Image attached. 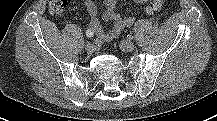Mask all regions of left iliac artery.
<instances>
[{"mask_svg": "<svg viewBox=\"0 0 217 121\" xmlns=\"http://www.w3.org/2000/svg\"><path fill=\"white\" fill-rule=\"evenodd\" d=\"M149 24L150 22L148 20H145V19L138 20L133 27V31L137 32L138 30L142 29L143 27Z\"/></svg>", "mask_w": 217, "mask_h": 121, "instance_id": "44dca946", "label": "left iliac artery"}]
</instances>
